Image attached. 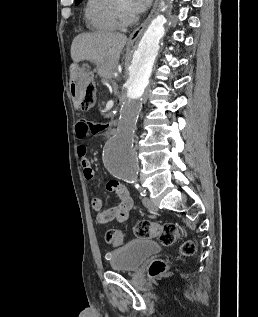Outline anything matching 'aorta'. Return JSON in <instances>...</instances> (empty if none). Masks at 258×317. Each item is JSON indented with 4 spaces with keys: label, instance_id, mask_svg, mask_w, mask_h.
Masks as SVG:
<instances>
[{
    "label": "aorta",
    "instance_id": "762f6f07",
    "mask_svg": "<svg viewBox=\"0 0 258 317\" xmlns=\"http://www.w3.org/2000/svg\"><path fill=\"white\" fill-rule=\"evenodd\" d=\"M165 10L164 3H161ZM166 19L158 15L152 20L133 54L127 80L126 100L121 106L116 134L106 143L103 161L108 171L123 180H133L138 173L134 149V130L142 108L141 96L149 83L154 61L165 34Z\"/></svg>",
    "mask_w": 258,
    "mask_h": 317
}]
</instances>
